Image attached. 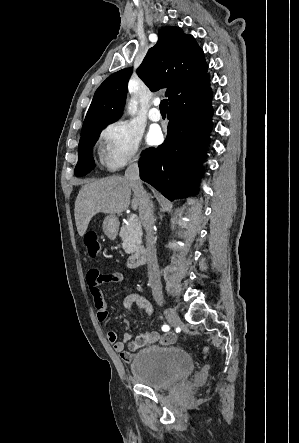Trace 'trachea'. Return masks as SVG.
I'll return each instance as SVG.
<instances>
[{
	"label": "trachea",
	"instance_id": "obj_1",
	"mask_svg": "<svg viewBox=\"0 0 299 443\" xmlns=\"http://www.w3.org/2000/svg\"><path fill=\"white\" fill-rule=\"evenodd\" d=\"M167 107H168V100L164 99L161 101L160 103V111L161 112H166L167 111Z\"/></svg>",
	"mask_w": 299,
	"mask_h": 443
}]
</instances>
